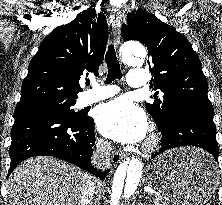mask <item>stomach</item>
Wrapping results in <instances>:
<instances>
[{
  "label": "stomach",
  "instance_id": "stomach-1",
  "mask_svg": "<svg viewBox=\"0 0 222 205\" xmlns=\"http://www.w3.org/2000/svg\"><path fill=\"white\" fill-rule=\"evenodd\" d=\"M147 184L170 198L173 205H203L218 184L210 156L197 148L168 151L147 168Z\"/></svg>",
  "mask_w": 222,
  "mask_h": 205
}]
</instances>
